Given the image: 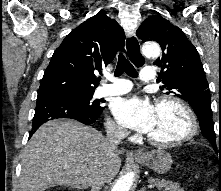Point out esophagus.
I'll return each instance as SVG.
<instances>
[{
  "label": "esophagus",
  "mask_w": 221,
  "mask_h": 191,
  "mask_svg": "<svg viewBox=\"0 0 221 191\" xmlns=\"http://www.w3.org/2000/svg\"><path fill=\"white\" fill-rule=\"evenodd\" d=\"M125 48H126V51L128 53V56L131 62L137 67L142 66L145 59L141 54L140 42L134 33H128L126 35ZM140 155H141V152L138 151V152H135L133 156L137 157Z\"/></svg>",
  "instance_id": "obj_1"
}]
</instances>
